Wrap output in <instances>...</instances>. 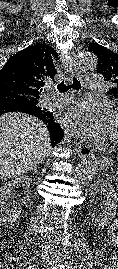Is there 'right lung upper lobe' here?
I'll use <instances>...</instances> for the list:
<instances>
[{"label":"right lung upper lobe","instance_id":"1","mask_svg":"<svg viewBox=\"0 0 118 269\" xmlns=\"http://www.w3.org/2000/svg\"><path fill=\"white\" fill-rule=\"evenodd\" d=\"M57 58V52L43 43L17 52L0 70V103L26 102L33 107L32 114L47 123L51 137L59 125L53 121V114L38 103L44 85L56 74Z\"/></svg>","mask_w":118,"mask_h":269}]
</instances>
